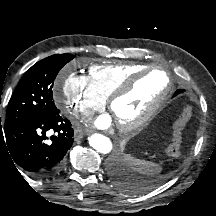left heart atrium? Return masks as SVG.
I'll use <instances>...</instances> for the list:
<instances>
[{
    "instance_id": "obj_1",
    "label": "left heart atrium",
    "mask_w": 216,
    "mask_h": 216,
    "mask_svg": "<svg viewBox=\"0 0 216 216\" xmlns=\"http://www.w3.org/2000/svg\"><path fill=\"white\" fill-rule=\"evenodd\" d=\"M110 124H111V118L109 116H106V115L100 116L95 121V125L99 128H107L110 126Z\"/></svg>"
}]
</instances>
